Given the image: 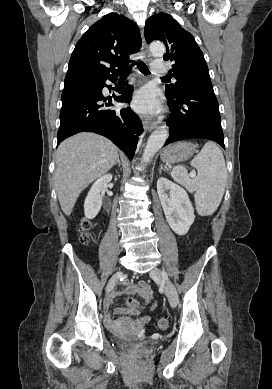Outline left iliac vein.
<instances>
[{
	"instance_id": "4c4485c4",
	"label": "left iliac vein",
	"mask_w": 272,
	"mask_h": 389,
	"mask_svg": "<svg viewBox=\"0 0 272 389\" xmlns=\"http://www.w3.org/2000/svg\"><path fill=\"white\" fill-rule=\"evenodd\" d=\"M150 277L154 281L162 284L171 306L175 307L178 304V293L173 283L166 277L165 273L161 269L155 267L150 271Z\"/></svg>"
}]
</instances>
